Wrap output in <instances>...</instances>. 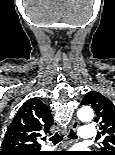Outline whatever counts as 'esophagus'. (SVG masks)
Here are the masks:
<instances>
[{"mask_svg": "<svg viewBox=\"0 0 115 155\" xmlns=\"http://www.w3.org/2000/svg\"><path fill=\"white\" fill-rule=\"evenodd\" d=\"M79 126V122L77 120H73L70 124V130L75 131Z\"/></svg>", "mask_w": 115, "mask_h": 155, "instance_id": "obj_1", "label": "esophagus"}]
</instances>
